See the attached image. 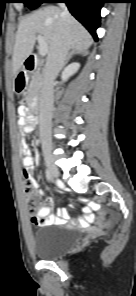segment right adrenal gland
I'll list each match as a JSON object with an SVG mask.
<instances>
[{
    "instance_id": "2a0ac1e0",
    "label": "right adrenal gland",
    "mask_w": 136,
    "mask_h": 296,
    "mask_svg": "<svg viewBox=\"0 0 136 296\" xmlns=\"http://www.w3.org/2000/svg\"><path fill=\"white\" fill-rule=\"evenodd\" d=\"M86 54H87L86 51H75V50H72V51L68 54V56H67V58H66L65 65L68 63V61L70 60V58H71L72 56H74V55H86Z\"/></svg>"
}]
</instances>
